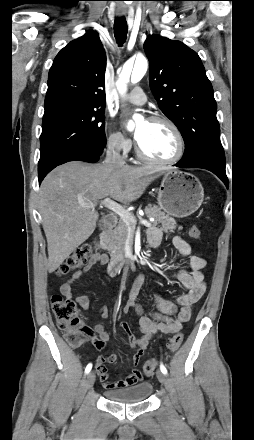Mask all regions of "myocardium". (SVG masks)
<instances>
[{
	"mask_svg": "<svg viewBox=\"0 0 254 440\" xmlns=\"http://www.w3.org/2000/svg\"><path fill=\"white\" fill-rule=\"evenodd\" d=\"M149 121L154 122V123H164V124L168 125L173 130V132L175 133V135L177 137L178 150H177L176 155L174 157H172L171 159L157 160V159L151 158L148 155H146L137 141L136 154H137L138 158L146 163L153 164V165H159V166L173 165V164L177 163L178 161H180L185 153L186 143H185L184 136H183L181 130L179 129V127L176 125V123L173 122L168 117L159 116V115L150 117Z\"/></svg>",
	"mask_w": 254,
	"mask_h": 440,
	"instance_id": "1",
	"label": "myocardium"
}]
</instances>
